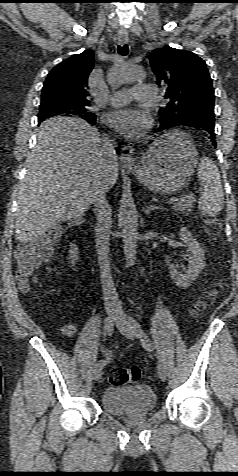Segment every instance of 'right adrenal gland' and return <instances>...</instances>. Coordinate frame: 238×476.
Returning a JSON list of instances; mask_svg holds the SVG:
<instances>
[{"label":"right adrenal gland","instance_id":"2a0ac1e0","mask_svg":"<svg viewBox=\"0 0 238 476\" xmlns=\"http://www.w3.org/2000/svg\"><path fill=\"white\" fill-rule=\"evenodd\" d=\"M101 202H102V204H105V203L107 202V201H106V197H102V198H101Z\"/></svg>","mask_w":238,"mask_h":476}]
</instances>
